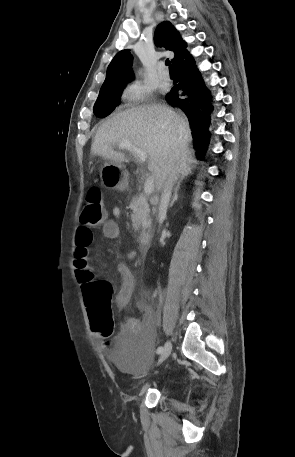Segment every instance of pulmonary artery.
Returning <instances> with one entry per match:
<instances>
[{"mask_svg": "<svg viewBox=\"0 0 295 457\" xmlns=\"http://www.w3.org/2000/svg\"><path fill=\"white\" fill-rule=\"evenodd\" d=\"M159 75H160V78L164 81H167L170 78L169 72L164 68L163 65L160 68Z\"/></svg>", "mask_w": 295, "mask_h": 457, "instance_id": "obj_1", "label": "pulmonary artery"}]
</instances>
